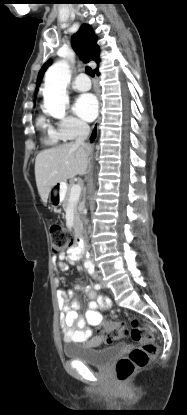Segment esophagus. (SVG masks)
<instances>
[{
  "mask_svg": "<svg viewBox=\"0 0 187 415\" xmlns=\"http://www.w3.org/2000/svg\"><path fill=\"white\" fill-rule=\"evenodd\" d=\"M99 122H100V116L98 117V119L96 120V122L94 123L91 133L89 135L88 141L94 142L98 136V126H99Z\"/></svg>",
  "mask_w": 187,
  "mask_h": 415,
  "instance_id": "1",
  "label": "esophagus"
}]
</instances>
